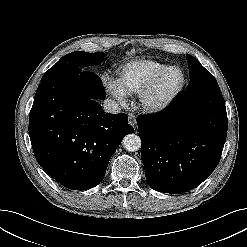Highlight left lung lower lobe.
<instances>
[{"label":"left lung lower lobe","mask_w":247,"mask_h":247,"mask_svg":"<svg viewBox=\"0 0 247 247\" xmlns=\"http://www.w3.org/2000/svg\"><path fill=\"white\" fill-rule=\"evenodd\" d=\"M146 181L171 194L188 192L214 171L226 140L225 101L216 79L190 80L166 109L137 118Z\"/></svg>","instance_id":"left-lung-lower-lobe-1"}]
</instances>
